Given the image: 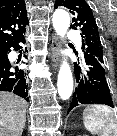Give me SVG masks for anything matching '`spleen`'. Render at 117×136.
I'll use <instances>...</instances> for the list:
<instances>
[{
	"instance_id": "3e777b00",
	"label": "spleen",
	"mask_w": 117,
	"mask_h": 136,
	"mask_svg": "<svg viewBox=\"0 0 117 136\" xmlns=\"http://www.w3.org/2000/svg\"><path fill=\"white\" fill-rule=\"evenodd\" d=\"M83 123L88 131L99 136H117V115L105 105H90L84 109Z\"/></svg>"
}]
</instances>
